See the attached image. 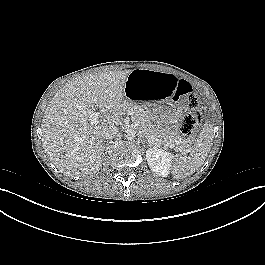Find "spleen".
Returning a JSON list of instances; mask_svg holds the SVG:
<instances>
[{"instance_id":"1","label":"spleen","mask_w":265,"mask_h":265,"mask_svg":"<svg viewBox=\"0 0 265 265\" xmlns=\"http://www.w3.org/2000/svg\"><path fill=\"white\" fill-rule=\"evenodd\" d=\"M213 133L211 129L201 132L199 139L188 149L189 155L175 156L172 164V174L175 179H182L193 174L202 166L212 146Z\"/></svg>"}]
</instances>
